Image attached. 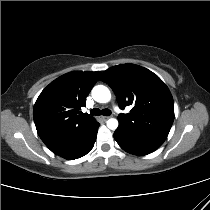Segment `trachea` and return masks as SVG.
Listing matches in <instances>:
<instances>
[{
	"label": "trachea",
	"instance_id": "3493384b",
	"mask_svg": "<svg viewBox=\"0 0 210 210\" xmlns=\"http://www.w3.org/2000/svg\"><path fill=\"white\" fill-rule=\"evenodd\" d=\"M104 115V116H109L111 114V111L109 109H103V110H100L98 108H93L91 111H90V115H96V116H99V115Z\"/></svg>",
	"mask_w": 210,
	"mask_h": 210
}]
</instances>
